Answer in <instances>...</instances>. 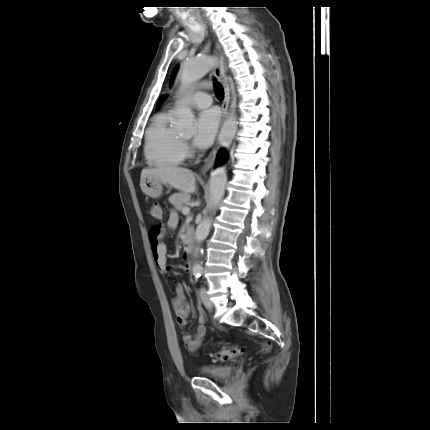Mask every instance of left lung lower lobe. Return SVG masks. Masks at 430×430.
<instances>
[{"label": "left lung lower lobe", "mask_w": 430, "mask_h": 430, "mask_svg": "<svg viewBox=\"0 0 430 430\" xmlns=\"http://www.w3.org/2000/svg\"><path fill=\"white\" fill-rule=\"evenodd\" d=\"M225 156H226L225 152L223 150H221L217 155L216 163L218 164V163L223 162L225 159Z\"/></svg>", "instance_id": "0a47b994"}]
</instances>
